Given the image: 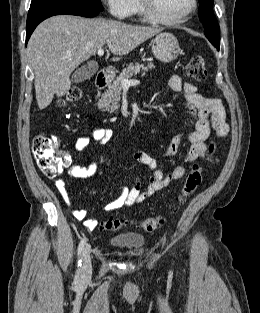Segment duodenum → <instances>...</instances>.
Here are the masks:
<instances>
[{
	"label": "duodenum",
	"instance_id": "1",
	"mask_svg": "<svg viewBox=\"0 0 260 313\" xmlns=\"http://www.w3.org/2000/svg\"><path fill=\"white\" fill-rule=\"evenodd\" d=\"M109 82V76L106 70H101L97 73L95 78V88L97 90L107 87Z\"/></svg>",
	"mask_w": 260,
	"mask_h": 313
}]
</instances>
